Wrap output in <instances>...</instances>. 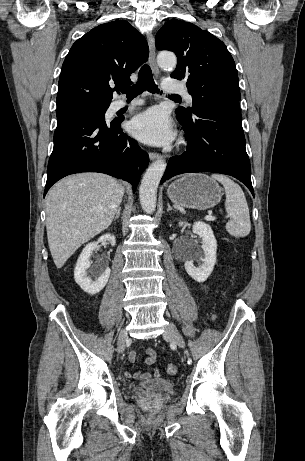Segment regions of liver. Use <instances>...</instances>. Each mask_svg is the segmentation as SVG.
<instances>
[{
	"label": "liver",
	"instance_id": "1",
	"mask_svg": "<svg viewBox=\"0 0 305 461\" xmlns=\"http://www.w3.org/2000/svg\"><path fill=\"white\" fill-rule=\"evenodd\" d=\"M122 196L118 181L100 173L72 175L50 189L46 229L58 269L82 244L109 227Z\"/></svg>",
	"mask_w": 305,
	"mask_h": 461
}]
</instances>
